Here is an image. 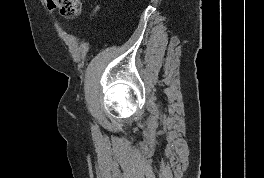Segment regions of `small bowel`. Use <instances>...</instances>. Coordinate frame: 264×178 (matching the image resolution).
Returning a JSON list of instances; mask_svg holds the SVG:
<instances>
[{
	"label": "small bowel",
	"instance_id": "small-bowel-1",
	"mask_svg": "<svg viewBox=\"0 0 264 178\" xmlns=\"http://www.w3.org/2000/svg\"><path fill=\"white\" fill-rule=\"evenodd\" d=\"M49 7H50V9H53V7H52V6H50V5H49Z\"/></svg>",
	"mask_w": 264,
	"mask_h": 178
}]
</instances>
